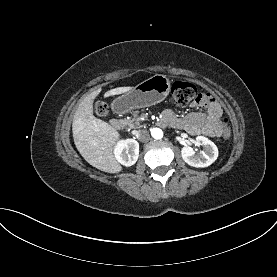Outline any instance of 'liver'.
<instances>
[{
	"label": "liver",
	"instance_id": "obj_1",
	"mask_svg": "<svg viewBox=\"0 0 277 277\" xmlns=\"http://www.w3.org/2000/svg\"><path fill=\"white\" fill-rule=\"evenodd\" d=\"M130 90V86L118 87L107 91L105 96ZM100 92V88L91 92L78 105L72 123L73 139L77 150L90 165L107 173H118L122 167L114 157L113 149L120 134L107 122L93 115V102Z\"/></svg>",
	"mask_w": 277,
	"mask_h": 277
}]
</instances>
